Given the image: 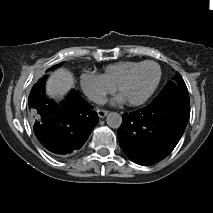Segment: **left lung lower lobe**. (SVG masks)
I'll use <instances>...</instances> for the list:
<instances>
[{"label": "left lung lower lobe", "instance_id": "left-lung-lower-lobe-1", "mask_svg": "<svg viewBox=\"0 0 213 213\" xmlns=\"http://www.w3.org/2000/svg\"><path fill=\"white\" fill-rule=\"evenodd\" d=\"M190 116L188 93L168 91L151 104L122 116L118 140L124 153L139 165L164 159L179 142Z\"/></svg>", "mask_w": 213, "mask_h": 213}]
</instances>
